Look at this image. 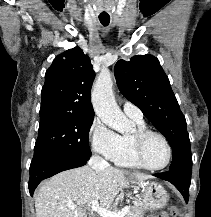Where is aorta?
Here are the masks:
<instances>
[{"mask_svg": "<svg viewBox=\"0 0 211 217\" xmlns=\"http://www.w3.org/2000/svg\"><path fill=\"white\" fill-rule=\"evenodd\" d=\"M112 86L111 73L108 70H102L93 87L92 105L103 123L119 133H124L131 128V123L118 107Z\"/></svg>", "mask_w": 211, "mask_h": 217, "instance_id": "obj_1", "label": "aorta"}]
</instances>
